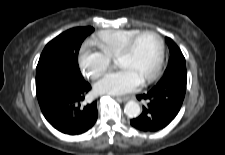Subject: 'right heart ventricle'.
I'll return each mask as SVG.
<instances>
[{
	"mask_svg": "<svg viewBox=\"0 0 225 155\" xmlns=\"http://www.w3.org/2000/svg\"><path fill=\"white\" fill-rule=\"evenodd\" d=\"M140 31L139 29L106 30L97 34L92 39V43L109 59H113L117 57L125 43Z\"/></svg>",
	"mask_w": 225,
	"mask_h": 155,
	"instance_id": "obj_1",
	"label": "right heart ventricle"
}]
</instances>
